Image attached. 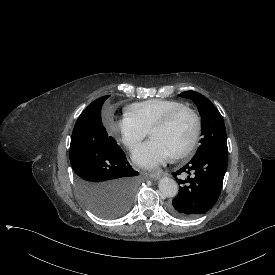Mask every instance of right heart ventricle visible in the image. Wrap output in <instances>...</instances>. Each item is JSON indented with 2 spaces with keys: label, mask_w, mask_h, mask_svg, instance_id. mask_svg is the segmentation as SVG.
<instances>
[{
  "label": "right heart ventricle",
  "mask_w": 275,
  "mask_h": 275,
  "mask_svg": "<svg viewBox=\"0 0 275 275\" xmlns=\"http://www.w3.org/2000/svg\"><path fill=\"white\" fill-rule=\"evenodd\" d=\"M185 107V104L168 99H150L134 103L126 108V115L136 120L143 128L150 131L153 125L169 112Z\"/></svg>",
  "instance_id": "right-heart-ventricle-1"
}]
</instances>
